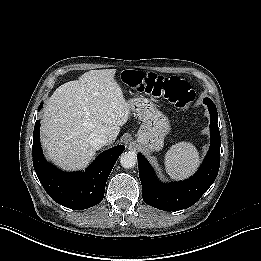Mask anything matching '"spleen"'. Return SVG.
<instances>
[{
  "label": "spleen",
  "mask_w": 261,
  "mask_h": 261,
  "mask_svg": "<svg viewBox=\"0 0 261 261\" xmlns=\"http://www.w3.org/2000/svg\"><path fill=\"white\" fill-rule=\"evenodd\" d=\"M200 163L199 152L190 142H179L165 154L166 173L174 180L191 176Z\"/></svg>",
  "instance_id": "1"
}]
</instances>
